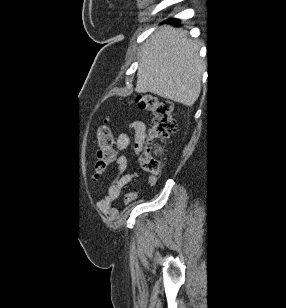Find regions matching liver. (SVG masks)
Segmentation results:
<instances>
[{
    "instance_id": "liver-1",
    "label": "liver",
    "mask_w": 286,
    "mask_h": 308,
    "mask_svg": "<svg viewBox=\"0 0 286 308\" xmlns=\"http://www.w3.org/2000/svg\"><path fill=\"white\" fill-rule=\"evenodd\" d=\"M198 52L186 31L162 26L142 49L135 91L192 106L201 92L204 69Z\"/></svg>"
}]
</instances>
